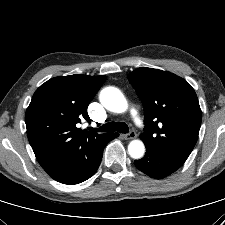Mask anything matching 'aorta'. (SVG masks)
<instances>
[{"mask_svg": "<svg viewBox=\"0 0 225 225\" xmlns=\"http://www.w3.org/2000/svg\"><path fill=\"white\" fill-rule=\"evenodd\" d=\"M101 104L109 111L123 113L128 108V103L123 93L116 87H105L99 95ZM128 153L134 159L144 156L145 146L141 140H133L128 145Z\"/></svg>", "mask_w": 225, "mask_h": 225, "instance_id": "1", "label": "aorta"}]
</instances>
